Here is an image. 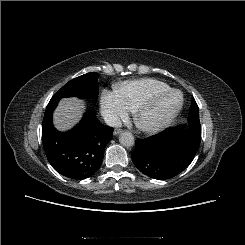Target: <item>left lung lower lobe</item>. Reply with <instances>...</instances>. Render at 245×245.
<instances>
[{"instance_id":"obj_1","label":"left lung lower lobe","mask_w":245,"mask_h":245,"mask_svg":"<svg viewBox=\"0 0 245 245\" xmlns=\"http://www.w3.org/2000/svg\"><path fill=\"white\" fill-rule=\"evenodd\" d=\"M201 141V131L185 132L180 127L168 128L158 134L136 141L131 152L135 166L155 179H169L192 162Z\"/></svg>"}]
</instances>
